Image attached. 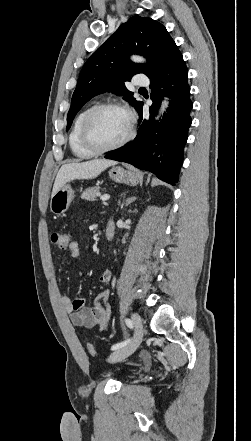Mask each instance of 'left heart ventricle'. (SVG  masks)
<instances>
[{
  "instance_id": "left-heart-ventricle-1",
  "label": "left heart ventricle",
  "mask_w": 251,
  "mask_h": 441,
  "mask_svg": "<svg viewBox=\"0 0 251 441\" xmlns=\"http://www.w3.org/2000/svg\"><path fill=\"white\" fill-rule=\"evenodd\" d=\"M128 130L127 115L117 109H105L96 113L89 124L90 140L105 147L121 140Z\"/></svg>"
}]
</instances>
